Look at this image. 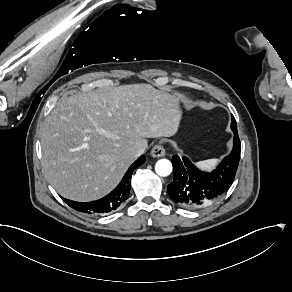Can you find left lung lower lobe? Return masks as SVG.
<instances>
[{"mask_svg": "<svg viewBox=\"0 0 292 292\" xmlns=\"http://www.w3.org/2000/svg\"><path fill=\"white\" fill-rule=\"evenodd\" d=\"M241 143L234 139L232 152L210 173L196 168L187 157L174 155L173 181L167 186L170 198L187 209H200L219 200L234 181L240 160Z\"/></svg>", "mask_w": 292, "mask_h": 292, "instance_id": "0a47b994", "label": "left lung lower lobe"}]
</instances>
